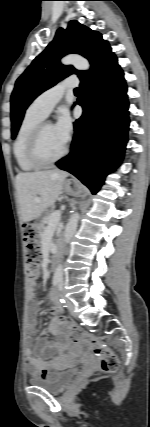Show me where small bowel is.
<instances>
[{
	"mask_svg": "<svg viewBox=\"0 0 150 427\" xmlns=\"http://www.w3.org/2000/svg\"><path fill=\"white\" fill-rule=\"evenodd\" d=\"M37 284V277L31 279L28 283L29 286V305L26 317L25 328L28 336V345L25 350L26 367L30 374H38L41 377H47L54 369H56L62 362V357L52 358L46 360L42 356H37L33 352L32 346H35L39 351L47 357H52L55 353L62 354L71 348V344L65 334H62L57 340L50 341L46 338H38L34 340L37 332V323L39 316V304L34 298V290ZM49 298L58 312L62 311V306L56 292L51 291ZM58 319H53L50 324V329L53 331L58 330ZM76 351V350H75Z\"/></svg>",
	"mask_w": 150,
	"mask_h": 427,
	"instance_id": "small-bowel-1",
	"label": "small bowel"
}]
</instances>
